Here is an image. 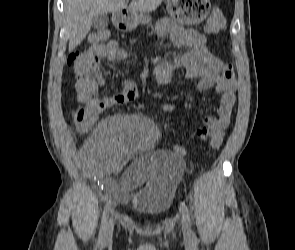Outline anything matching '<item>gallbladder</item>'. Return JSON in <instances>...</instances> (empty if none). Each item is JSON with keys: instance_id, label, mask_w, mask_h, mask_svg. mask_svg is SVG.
I'll use <instances>...</instances> for the list:
<instances>
[{"instance_id": "obj_1", "label": "gallbladder", "mask_w": 295, "mask_h": 250, "mask_svg": "<svg viewBox=\"0 0 295 250\" xmlns=\"http://www.w3.org/2000/svg\"><path fill=\"white\" fill-rule=\"evenodd\" d=\"M109 17L107 14L95 15L92 19V26L94 29L103 30L108 26Z\"/></svg>"}]
</instances>
